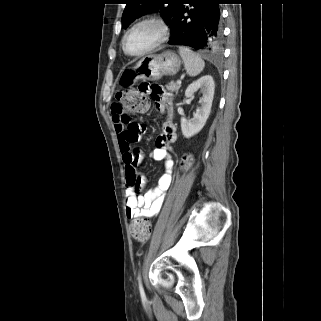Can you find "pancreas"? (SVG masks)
<instances>
[{"instance_id":"obj_1","label":"pancreas","mask_w":321,"mask_h":321,"mask_svg":"<svg viewBox=\"0 0 321 321\" xmlns=\"http://www.w3.org/2000/svg\"><path fill=\"white\" fill-rule=\"evenodd\" d=\"M166 88L171 92H178V90L180 88V84L174 83V82H170V83H168L166 85Z\"/></svg>"}]
</instances>
